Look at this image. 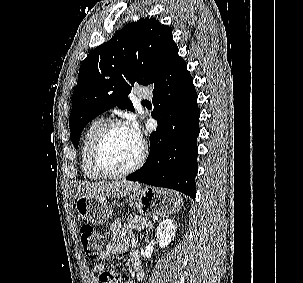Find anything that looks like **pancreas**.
I'll return each instance as SVG.
<instances>
[{
    "label": "pancreas",
    "instance_id": "1",
    "mask_svg": "<svg viewBox=\"0 0 303 283\" xmlns=\"http://www.w3.org/2000/svg\"><path fill=\"white\" fill-rule=\"evenodd\" d=\"M149 222L148 218L142 215L130 216L127 219V225H124L126 230H144Z\"/></svg>",
    "mask_w": 303,
    "mask_h": 283
}]
</instances>
